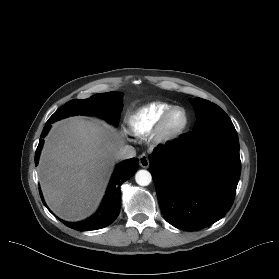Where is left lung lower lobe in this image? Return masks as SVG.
Listing matches in <instances>:
<instances>
[{"label":"left lung lower lobe","instance_id":"left-lung-lower-lobe-1","mask_svg":"<svg viewBox=\"0 0 279 279\" xmlns=\"http://www.w3.org/2000/svg\"><path fill=\"white\" fill-rule=\"evenodd\" d=\"M149 161L162 214L176 228H205L231 208L241 172L234 125L193 130L156 147Z\"/></svg>","mask_w":279,"mask_h":279}]
</instances>
